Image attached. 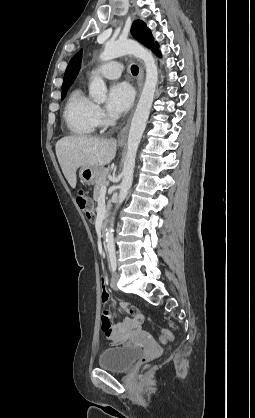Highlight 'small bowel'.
Segmentation results:
<instances>
[{
    "label": "small bowel",
    "mask_w": 255,
    "mask_h": 418,
    "mask_svg": "<svg viewBox=\"0 0 255 418\" xmlns=\"http://www.w3.org/2000/svg\"><path fill=\"white\" fill-rule=\"evenodd\" d=\"M108 294L106 290L102 289V301L106 303ZM122 309L129 315L124 321L111 325V316L107 311L102 313L101 327L105 338L112 341L116 345H130L134 340L144 337V334L139 330L142 323V314L134 307H129L127 303L121 304Z\"/></svg>",
    "instance_id": "obj_1"
}]
</instances>
